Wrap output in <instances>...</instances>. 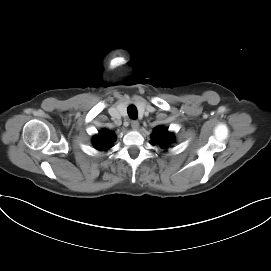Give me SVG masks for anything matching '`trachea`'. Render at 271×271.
<instances>
[{
  "label": "trachea",
  "instance_id": "3493384b",
  "mask_svg": "<svg viewBox=\"0 0 271 271\" xmlns=\"http://www.w3.org/2000/svg\"><path fill=\"white\" fill-rule=\"evenodd\" d=\"M127 112H128V115L130 118L132 119H136L137 118V108L134 106V105H130L128 108H127Z\"/></svg>",
  "mask_w": 271,
  "mask_h": 271
}]
</instances>
